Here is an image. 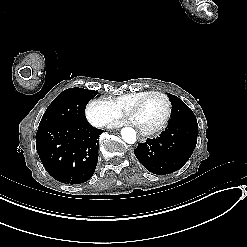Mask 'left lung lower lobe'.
Masks as SVG:
<instances>
[{
    "instance_id": "obj_1",
    "label": "left lung lower lobe",
    "mask_w": 247,
    "mask_h": 247,
    "mask_svg": "<svg viewBox=\"0 0 247 247\" xmlns=\"http://www.w3.org/2000/svg\"><path fill=\"white\" fill-rule=\"evenodd\" d=\"M197 134L196 117L177 118L157 138L139 143L134 154L150 172L170 174L188 161L196 146Z\"/></svg>"
}]
</instances>
